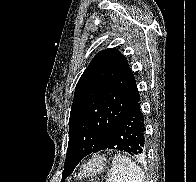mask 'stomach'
Listing matches in <instances>:
<instances>
[{"mask_svg": "<svg viewBox=\"0 0 196 182\" xmlns=\"http://www.w3.org/2000/svg\"><path fill=\"white\" fill-rule=\"evenodd\" d=\"M104 167V160L101 157H94L82 165L80 174L82 176H93L100 173Z\"/></svg>", "mask_w": 196, "mask_h": 182, "instance_id": "stomach-1", "label": "stomach"}]
</instances>
